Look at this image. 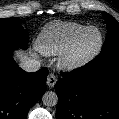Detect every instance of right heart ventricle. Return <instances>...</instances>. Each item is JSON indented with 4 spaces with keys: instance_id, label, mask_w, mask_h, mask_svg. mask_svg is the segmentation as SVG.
Segmentation results:
<instances>
[{
    "instance_id": "e07e8e85",
    "label": "right heart ventricle",
    "mask_w": 119,
    "mask_h": 119,
    "mask_svg": "<svg viewBox=\"0 0 119 119\" xmlns=\"http://www.w3.org/2000/svg\"><path fill=\"white\" fill-rule=\"evenodd\" d=\"M85 28V25L76 22H52L41 32L37 40V48L44 55H61L75 36Z\"/></svg>"
}]
</instances>
